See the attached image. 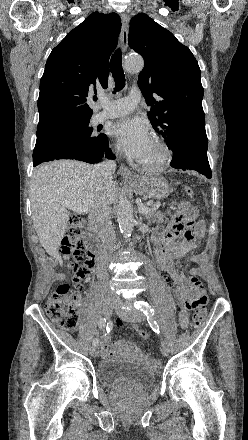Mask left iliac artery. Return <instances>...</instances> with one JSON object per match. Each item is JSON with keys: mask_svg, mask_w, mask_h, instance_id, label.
I'll list each match as a JSON object with an SVG mask.
<instances>
[{"mask_svg": "<svg viewBox=\"0 0 248 440\" xmlns=\"http://www.w3.org/2000/svg\"><path fill=\"white\" fill-rule=\"evenodd\" d=\"M135 308L143 311V313L146 315L147 319L150 320L153 324L152 328L155 332L159 333V327L156 321L154 320L155 310L153 307H151L147 302L145 301H136L134 303ZM162 346L164 344V341L161 342Z\"/></svg>", "mask_w": 248, "mask_h": 440, "instance_id": "44dca946", "label": "left iliac artery"}]
</instances>
